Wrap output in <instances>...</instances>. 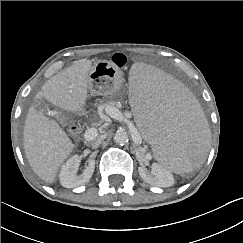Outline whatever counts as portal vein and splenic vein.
Returning a JSON list of instances; mask_svg holds the SVG:
<instances>
[{"label":"portal vein and splenic vein","mask_w":243,"mask_h":243,"mask_svg":"<svg viewBox=\"0 0 243 243\" xmlns=\"http://www.w3.org/2000/svg\"><path fill=\"white\" fill-rule=\"evenodd\" d=\"M108 115L116 120L126 123L128 125V127L134 132L135 136H137V137L140 136L139 132L135 128L133 122L129 120V118H130L129 114L124 116L118 109L110 108ZM95 135H96V130L94 128H90L85 132L84 137L86 140H90Z\"/></svg>","instance_id":"1"}]
</instances>
